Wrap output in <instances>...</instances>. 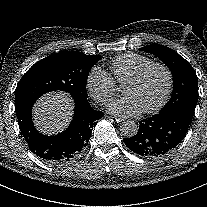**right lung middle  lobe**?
Listing matches in <instances>:
<instances>
[{"mask_svg": "<svg viewBox=\"0 0 207 207\" xmlns=\"http://www.w3.org/2000/svg\"><path fill=\"white\" fill-rule=\"evenodd\" d=\"M99 55L61 52L35 63L21 78L15 90V110L32 105L43 94L62 90L74 100H87L86 83Z\"/></svg>", "mask_w": 207, "mask_h": 207, "instance_id": "right-lung-middle-lobe-1", "label": "right lung middle lobe"}]
</instances>
